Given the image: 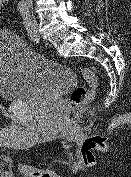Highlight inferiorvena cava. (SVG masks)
I'll list each match as a JSON object with an SVG mask.
<instances>
[{"instance_id":"602c4592","label":"inferior vena cava","mask_w":131,"mask_h":177,"mask_svg":"<svg viewBox=\"0 0 131 177\" xmlns=\"http://www.w3.org/2000/svg\"><path fill=\"white\" fill-rule=\"evenodd\" d=\"M27 2L32 5L33 0H27Z\"/></svg>"}]
</instances>
